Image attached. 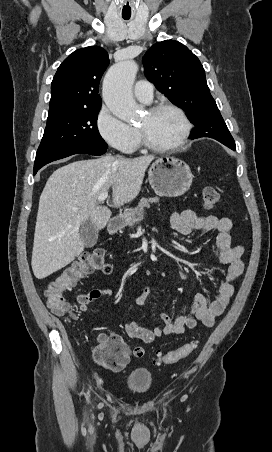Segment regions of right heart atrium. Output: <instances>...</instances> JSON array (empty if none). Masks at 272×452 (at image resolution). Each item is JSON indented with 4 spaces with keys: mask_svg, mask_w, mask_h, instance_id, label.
<instances>
[{
    "mask_svg": "<svg viewBox=\"0 0 272 452\" xmlns=\"http://www.w3.org/2000/svg\"><path fill=\"white\" fill-rule=\"evenodd\" d=\"M95 125L98 134L107 144L123 152L133 151L138 140L136 130L113 115L105 105L100 107Z\"/></svg>",
    "mask_w": 272,
    "mask_h": 452,
    "instance_id": "d8ad5b80",
    "label": "right heart atrium"
}]
</instances>
